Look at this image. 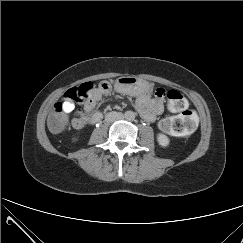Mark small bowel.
<instances>
[{
	"label": "small bowel",
	"instance_id": "small-bowel-1",
	"mask_svg": "<svg viewBox=\"0 0 243 243\" xmlns=\"http://www.w3.org/2000/svg\"><path fill=\"white\" fill-rule=\"evenodd\" d=\"M110 90V89H109ZM109 90L104 91L101 88H96L93 91V100L85 105L86 112H90L96 101H99L104 94H107ZM136 109L140 116L147 122H153L158 115L163 112V100L162 98H153L148 92H142L136 98ZM75 106L72 102H64V111L66 113H71ZM77 117L73 118V126L80 128L82 126H77Z\"/></svg>",
	"mask_w": 243,
	"mask_h": 243
}]
</instances>
